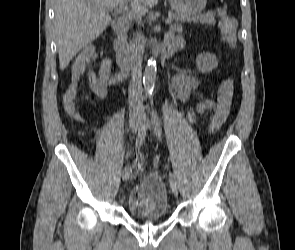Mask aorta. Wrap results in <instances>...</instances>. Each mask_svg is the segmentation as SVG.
<instances>
[{"mask_svg": "<svg viewBox=\"0 0 295 250\" xmlns=\"http://www.w3.org/2000/svg\"><path fill=\"white\" fill-rule=\"evenodd\" d=\"M157 66L156 61L149 59L147 66L145 67L143 76V86L146 96H150L153 92L156 82Z\"/></svg>", "mask_w": 295, "mask_h": 250, "instance_id": "762f6f07", "label": "aorta"}]
</instances>
